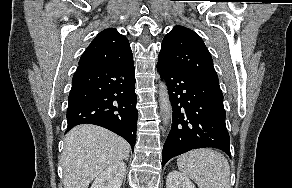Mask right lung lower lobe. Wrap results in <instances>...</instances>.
I'll use <instances>...</instances> for the list:
<instances>
[{"mask_svg":"<svg viewBox=\"0 0 292 188\" xmlns=\"http://www.w3.org/2000/svg\"><path fill=\"white\" fill-rule=\"evenodd\" d=\"M136 100L133 60L121 64H79L69 94L67 131L78 124H95L125 138L133 151Z\"/></svg>","mask_w":292,"mask_h":188,"instance_id":"1","label":"right lung lower lobe"}]
</instances>
